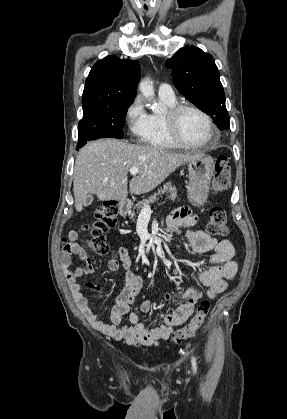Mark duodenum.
Segmentation results:
<instances>
[{
    "mask_svg": "<svg viewBox=\"0 0 287 419\" xmlns=\"http://www.w3.org/2000/svg\"><path fill=\"white\" fill-rule=\"evenodd\" d=\"M128 208V202L126 200H122L121 201V210L123 213H125L127 211Z\"/></svg>",
    "mask_w": 287,
    "mask_h": 419,
    "instance_id": "duodenum-1",
    "label": "duodenum"
}]
</instances>
